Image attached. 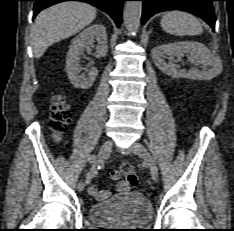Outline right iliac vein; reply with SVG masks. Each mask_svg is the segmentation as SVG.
Masks as SVG:
<instances>
[{
	"mask_svg": "<svg viewBox=\"0 0 234 231\" xmlns=\"http://www.w3.org/2000/svg\"><path fill=\"white\" fill-rule=\"evenodd\" d=\"M113 143L111 140H107L103 143L101 146L99 153H98V161L106 159L112 150ZM85 187L84 182H79L78 183V191H83Z\"/></svg>",
	"mask_w": 234,
	"mask_h": 231,
	"instance_id": "right-iliac-vein-1",
	"label": "right iliac vein"
}]
</instances>
